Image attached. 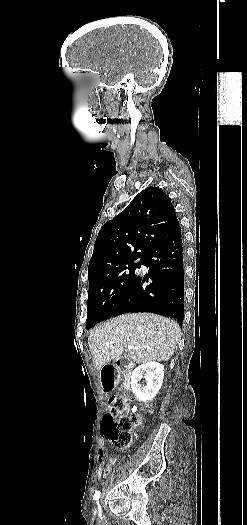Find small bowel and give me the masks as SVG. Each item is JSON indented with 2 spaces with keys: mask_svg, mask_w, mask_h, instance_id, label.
Segmentation results:
<instances>
[{
  "mask_svg": "<svg viewBox=\"0 0 247 525\" xmlns=\"http://www.w3.org/2000/svg\"><path fill=\"white\" fill-rule=\"evenodd\" d=\"M97 460L99 463L97 478L102 479L108 477L117 459L114 456L108 457L105 439L99 441Z\"/></svg>",
  "mask_w": 247,
  "mask_h": 525,
  "instance_id": "obj_1",
  "label": "small bowel"
}]
</instances>
